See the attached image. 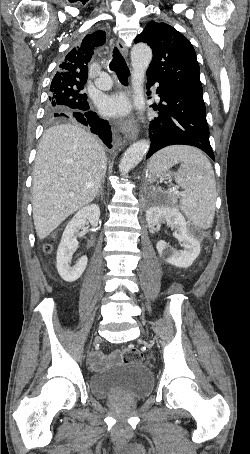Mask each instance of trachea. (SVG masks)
Returning <instances> with one entry per match:
<instances>
[{"label": "trachea", "mask_w": 250, "mask_h": 454, "mask_svg": "<svg viewBox=\"0 0 250 454\" xmlns=\"http://www.w3.org/2000/svg\"><path fill=\"white\" fill-rule=\"evenodd\" d=\"M109 68L111 71L116 73L119 81L122 84L124 85L128 84V77L130 75V72L122 54L120 53L117 47H115L113 50V56L109 64Z\"/></svg>", "instance_id": "trachea-1"}]
</instances>
